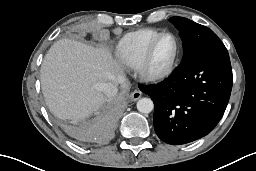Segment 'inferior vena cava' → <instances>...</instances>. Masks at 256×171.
<instances>
[{
  "label": "inferior vena cava",
  "mask_w": 256,
  "mask_h": 171,
  "mask_svg": "<svg viewBox=\"0 0 256 171\" xmlns=\"http://www.w3.org/2000/svg\"><path fill=\"white\" fill-rule=\"evenodd\" d=\"M102 90L108 97L115 96L118 91L117 85L111 82L103 84Z\"/></svg>",
  "instance_id": "1"
}]
</instances>
